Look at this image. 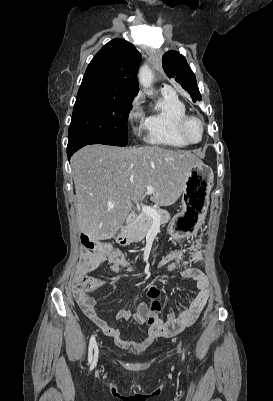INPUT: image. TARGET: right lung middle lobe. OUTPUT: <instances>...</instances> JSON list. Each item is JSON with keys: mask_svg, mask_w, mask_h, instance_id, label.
Wrapping results in <instances>:
<instances>
[{"mask_svg": "<svg viewBox=\"0 0 273 401\" xmlns=\"http://www.w3.org/2000/svg\"><path fill=\"white\" fill-rule=\"evenodd\" d=\"M132 101L94 96L76 97L68 143L88 141L124 146Z\"/></svg>", "mask_w": 273, "mask_h": 401, "instance_id": "right-lung-middle-lobe-1", "label": "right lung middle lobe"}]
</instances>
